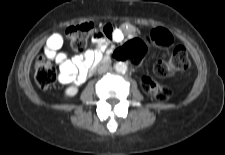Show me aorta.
Masks as SVG:
<instances>
[{
    "label": "aorta",
    "mask_w": 225,
    "mask_h": 155,
    "mask_svg": "<svg viewBox=\"0 0 225 155\" xmlns=\"http://www.w3.org/2000/svg\"><path fill=\"white\" fill-rule=\"evenodd\" d=\"M127 64L124 62H117L114 65V69L118 72V73H125L127 71Z\"/></svg>",
    "instance_id": "aorta-1"
}]
</instances>
